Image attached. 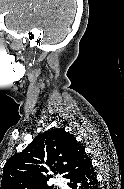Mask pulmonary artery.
Masks as SVG:
<instances>
[{"label":"pulmonary artery","mask_w":124,"mask_h":189,"mask_svg":"<svg viewBox=\"0 0 124 189\" xmlns=\"http://www.w3.org/2000/svg\"><path fill=\"white\" fill-rule=\"evenodd\" d=\"M56 184H57V185H60V183H59L58 181H56Z\"/></svg>","instance_id":"e3ab8cb5"}]
</instances>
